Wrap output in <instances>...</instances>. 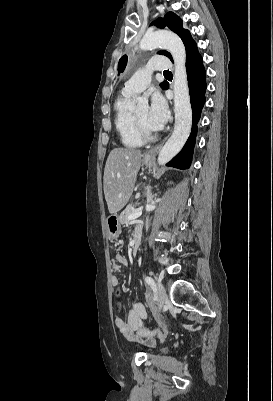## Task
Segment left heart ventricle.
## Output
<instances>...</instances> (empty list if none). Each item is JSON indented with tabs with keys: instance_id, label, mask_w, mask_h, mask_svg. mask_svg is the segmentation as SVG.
<instances>
[{
	"instance_id": "obj_1",
	"label": "left heart ventricle",
	"mask_w": 273,
	"mask_h": 401,
	"mask_svg": "<svg viewBox=\"0 0 273 401\" xmlns=\"http://www.w3.org/2000/svg\"><path fill=\"white\" fill-rule=\"evenodd\" d=\"M141 123L148 129L152 130L148 123V110L147 107L141 108L138 111L135 112Z\"/></svg>"
}]
</instances>
